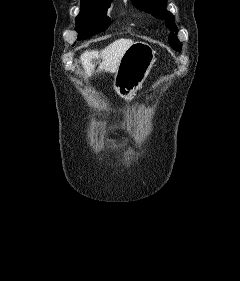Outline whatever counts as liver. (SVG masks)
<instances>
[{
	"label": "liver",
	"instance_id": "1",
	"mask_svg": "<svg viewBox=\"0 0 240 281\" xmlns=\"http://www.w3.org/2000/svg\"><path fill=\"white\" fill-rule=\"evenodd\" d=\"M133 44L131 39H118L102 49L100 52L97 50L85 51L80 56V61L84 68L85 77H91L95 73V63L101 58L102 62L99 63L96 72L101 73L110 72L115 73L118 70L121 59L126 50Z\"/></svg>",
	"mask_w": 240,
	"mask_h": 281
}]
</instances>
